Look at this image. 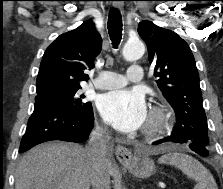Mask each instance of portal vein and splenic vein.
<instances>
[{
  "mask_svg": "<svg viewBox=\"0 0 223 189\" xmlns=\"http://www.w3.org/2000/svg\"><path fill=\"white\" fill-rule=\"evenodd\" d=\"M160 187H161V188H164V187H165V185H164V184H161V185H160Z\"/></svg>",
  "mask_w": 223,
  "mask_h": 189,
  "instance_id": "18ae733b",
  "label": "portal vein and splenic vein"
}]
</instances>
